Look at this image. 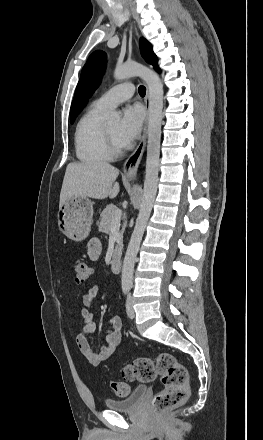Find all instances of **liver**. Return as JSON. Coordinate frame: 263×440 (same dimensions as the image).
Segmentation results:
<instances>
[{"label":"liver","mask_w":263,"mask_h":440,"mask_svg":"<svg viewBox=\"0 0 263 440\" xmlns=\"http://www.w3.org/2000/svg\"><path fill=\"white\" fill-rule=\"evenodd\" d=\"M119 170L107 162H72L67 165L59 206L72 197L115 198L120 190Z\"/></svg>","instance_id":"6515ba94"}]
</instances>
